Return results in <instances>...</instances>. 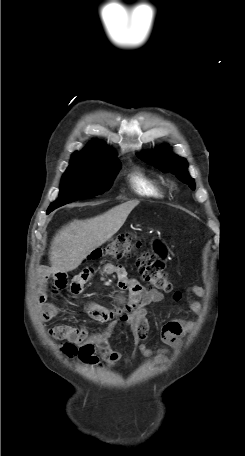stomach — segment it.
<instances>
[{
    "instance_id": "0dacf381",
    "label": "stomach",
    "mask_w": 245,
    "mask_h": 456,
    "mask_svg": "<svg viewBox=\"0 0 245 456\" xmlns=\"http://www.w3.org/2000/svg\"><path fill=\"white\" fill-rule=\"evenodd\" d=\"M153 250L155 254L160 258V259H165L167 256V249L165 245L161 241H155L153 244Z\"/></svg>"
}]
</instances>
